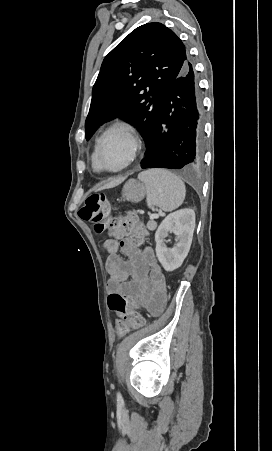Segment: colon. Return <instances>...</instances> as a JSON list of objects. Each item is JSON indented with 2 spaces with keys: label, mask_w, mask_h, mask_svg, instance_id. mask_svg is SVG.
<instances>
[{
  "label": "colon",
  "mask_w": 272,
  "mask_h": 451,
  "mask_svg": "<svg viewBox=\"0 0 272 451\" xmlns=\"http://www.w3.org/2000/svg\"><path fill=\"white\" fill-rule=\"evenodd\" d=\"M107 207L108 201L106 195L102 192H94L85 199L83 206L78 210V215L82 220L93 225L94 230L98 234H103L107 230L131 227V238L133 242L139 243L148 236V233L142 227L138 226L130 213L127 215L112 216L110 219L105 220ZM107 304L108 313H116L118 315V328L120 332H127L130 328H139L145 323V319L129 303L126 296L114 294L112 298L108 299Z\"/></svg>",
  "instance_id": "obj_1"
}]
</instances>
